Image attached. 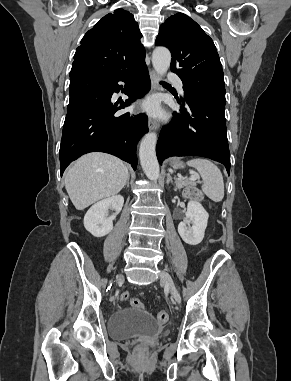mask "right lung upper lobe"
<instances>
[{
  "label": "right lung upper lobe",
  "mask_w": 291,
  "mask_h": 381,
  "mask_svg": "<svg viewBox=\"0 0 291 381\" xmlns=\"http://www.w3.org/2000/svg\"><path fill=\"white\" fill-rule=\"evenodd\" d=\"M142 34L134 16L117 9L98 21L76 49L70 73L119 75L145 61Z\"/></svg>",
  "instance_id": "obj_1"
}]
</instances>
